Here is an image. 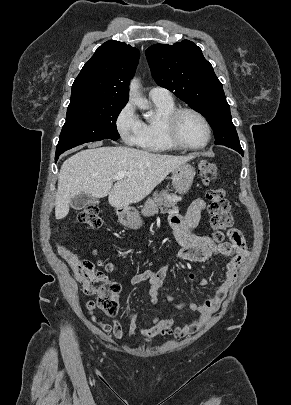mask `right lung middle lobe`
Returning a JSON list of instances; mask_svg holds the SVG:
<instances>
[{
    "label": "right lung middle lobe",
    "mask_w": 291,
    "mask_h": 405,
    "mask_svg": "<svg viewBox=\"0 0 291 405\" xmlns=\"http://www.w3.org/2000/svg\"><path fill=\"white\" fill-rule=\"evenodd\" d=\"M126 104L117 102H85L68 106L66 122L56 148L55 160L60 154L83 143L105 138H120L116 120Z\"/></svg>",
    "instance_id": "right-lung-middle-lobe-1"
}]
</instances>
